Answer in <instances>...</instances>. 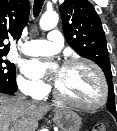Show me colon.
<instances>
[{
    "label": "colon",
    "instance_id": "obj_1",
    "mask_svg": "<svg viewBox=\"0 0 117 131\" xmlns=\"http://www.w3.org/2000/svg\"><path fill=\"white\" fill-rule=\"evenodd\" d=\"M89 131H107L105 125L96 124Z\"/></svg>",
    "mask_w": 117,
    "mask_h": 131
}]
</instances>
